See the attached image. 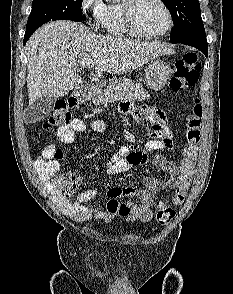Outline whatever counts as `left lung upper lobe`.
Masks as SVG:
<instances>
[{"mask_svg": "<svg viewBox=\"0 0 233 294\" xmlns=\"http://www.w3.org/2000/svg\"><path fill=\"white\" fill-rule=\"evenodd\" d=\"M169 9L174 29L170 40L178 43L183 40H206L198 0H162Z\"/></svg>", "mask_w": 233, "mask_h": 294, "instance_id": "left-lung-upper-lobe-1", "label": "left lung upper lobe"}]
</instances>
